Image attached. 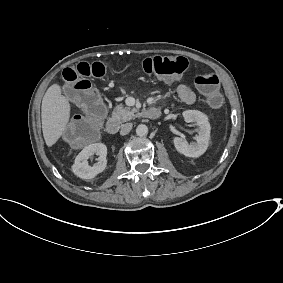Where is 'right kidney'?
Segmentation results:
<instances>
[{
	"mask_svg": "<svg viewBox=\"0 0 283 283\" xmlns=\"http://www.w3.org/2000/svg\"><path fill=\"white\" fill-rule=\"evenodd\" d=\"M98 155V162L93 166L88 165V158L92 155ZM107 147L103 143L90 144L85 147L75 158L72 166L73 173L82 179H92L101 173L107 165Z\"/></svg>",
	"mask_w": 283,
	"mask_h": 283,
	"instance_id": "ca27d5eb",
	"label": "right kidney"
}]
</instances>
